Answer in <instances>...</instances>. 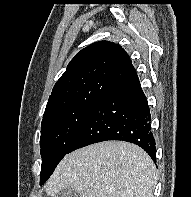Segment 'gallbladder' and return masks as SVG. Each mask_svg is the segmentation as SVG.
I'll return each instance as SVG.
<instances>
[{
	"label": "gallbladder",
	"instance_id": "obj_1",
	"mask_svg": "<svg viewBox=\"0 0 191 197\" xmlns=\"http://www.w3.org/2000/svg\"><path fill=\"white\" fill-rule=\"evenodd\" d=\"M54 197H79V194L73 188H64Z\"/></svg>",
	"mask_w": 191,
	"mask_h": 197
}]
</instances>
